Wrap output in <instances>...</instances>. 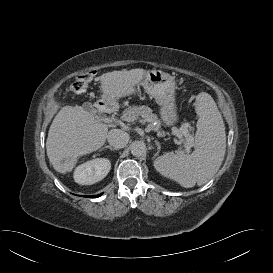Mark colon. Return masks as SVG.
<instances>
[{
  "label": "colon",
  "mask_w": 273,
  "mask_h": 273,
  "mask_svg": "<svg viewBox=\"0 0 273 273\" xmlns=\"http://www.w3.org/2000/svg\"><path fill=\"white\" fill-rule=\"evenodd\" d=\"M94 77V72H86L83 75L79 76L71 85L72 92L76 94L84 93Z\"/></svg>",
  "instance_id": "1"
}]
</instances>
